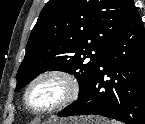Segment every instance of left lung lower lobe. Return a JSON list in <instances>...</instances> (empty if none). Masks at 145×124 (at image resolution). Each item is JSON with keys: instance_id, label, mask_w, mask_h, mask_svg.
Segmentation results:
<instances>
[{"instance_id": "obj_1", "label": "left lung lower lobe", "mask_w": 145, "mask_h": 124, "mask_svg": "<svg viewBox=\"0 0 145 124\" xmlns=\"http://www.w3.org/2000/svg\"><path fill=\"white\" fill-rule=\"evenodd\" d=\"M88 114L145 124V29L136 8L109 46L88 89L58 115Z\"/></svg>"}]
</instances>
